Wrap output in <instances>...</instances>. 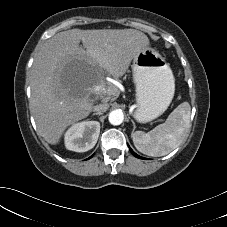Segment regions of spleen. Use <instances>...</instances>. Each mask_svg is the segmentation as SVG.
I'll use <instances>...</instances> for the list:
<instances>
[{
  "mask_svg": "<svg viewBox=\"0 0 227 227\" xmlns=\"http://www.w3.org/2000/svg\"><path fill=\"white\" fill-rule=\"evenodd\" d=\"M191 107L188 102L181 103L171 112L167 120L153 130L145 133L135 131L132 139L136 149L148 156L160 157L177 148L190 128Z\"/></svg>",
  "mask_w": 227,
  "mask_h": 227,
  "instance_id": "3e777b00",
  "label": "spleen"
}]
</instances>
